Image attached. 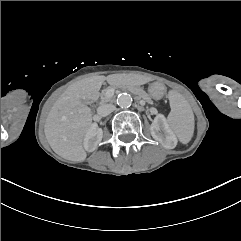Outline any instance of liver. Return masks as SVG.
<instances>
[{
    "mask_svg": "<svg viewBox=\"0 0 241 241\" xmlns=\"http://www.w3.org/2000/svg\"><path fill=\"white\" fill-rule=\"evenodd\" d=\"M104 81L117 85L119 75H96L79 80L70 85L51 107L44 133L59 156L76 162L86 160L84 140L93 121L91 109L86 104L98 97Z\"/></svg>",
    "mask_w": 241,
    "mask_h": 241,
    "instance_id": "1",
    "label": "liver"
}]
</instances>
